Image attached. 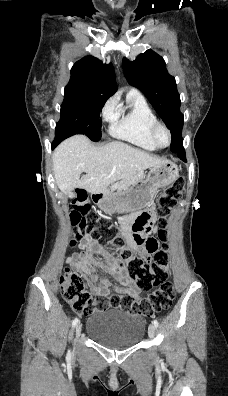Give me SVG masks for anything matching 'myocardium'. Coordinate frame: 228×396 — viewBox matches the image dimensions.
<instances>
[{"mask_svg": "<svg viewBox=\"0 0 228 396\" xmlns=\"http://www.w3.org/2000/svg\"><path fill=\"white\" fill-rule=\"evenodd\" d=\"M159 130H164L166 132V134H167L168 142H167V144L165 146H161L160 144L157 143L156 134H157V132ZM149 137H150V140L152 141V143L154 144V146L156 148H159V149H163V148L168 147L171 144V141H172V135H171V132H170L169 128L167 127L166 124H164V123H162L160 121H156L155 123H153L150 126V128H149Z\"/></svg>", "mask_w": 228, "mask_h": 396, "instance_id": "f54148a6", "label": "myocardium"}]
</instances>
